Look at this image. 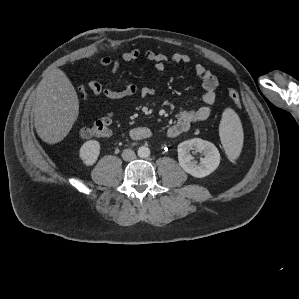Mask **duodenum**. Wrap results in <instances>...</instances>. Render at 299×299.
<instances>
[{
    "mask_svg": "<svg viewBox=\"0 0 299 299\" xmlns=\"http://www.w3.org/2000/svg\"><path fill=\"white\" fill-rule=\"evenodd\" d=\"M140 136L143 138H147L150 136V131L148 129H143L140 131Z\"/></svg>",
    "mask_w": 299,
    "mask_h": 299,
    "instance_id": "duodenum-1",
    "label": "duodenum"
}]
</instances>
